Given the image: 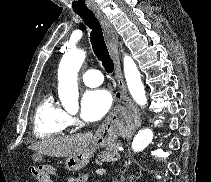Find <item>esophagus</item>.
I'll list each match as a JSON object with an SVG mask.
<instances>
[{
    "instance_id": "34e87169",
    "label": "esophagus",
    "mask_w": 211,
    "mask_h": 182,
    "mask_svg": "<svg viewBox=\"0 0 211 182\" xmlns=\"http://www.w3.org/2000/svg\"><path fill=\"white\" fill-rule=\"evenodd\" d=\"M93 12L102 24V27L104 29L105 36L107 39L108 48L115 64V77H116L119 89L115 93L114 99L117 103H121L127 107H133L137 113V116H139L140 114H139L138 108L130 100L127 93L126 84L123 79L119 55H118V35L114 27L111 25L109 20L105 17V15H103V13L100 11L99 8L94 9ZM114 116H115V109L107 117L106 121L102 124L99 131H104L106 128H108V126L112 123Z\"/></svg>"
}]
</instances>
